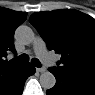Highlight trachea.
Masks as SVG:
<instances>
[{"label": "trachea", "instance_id": "3493384b", "mask_svg": "<svg viewBox=\"0 0 95 95\" xmlns=\"http://www.w3.org/2000/svg\"><path fill=\"white\" fill-rule=\"evenodd\" d=\"M18 61L20 62H27L29 61V57L27 54H21L18 58H17ZM32 64L35 66V67H41V63L40 61L37 59V58H33L31 60Z\"/></svg>", "mask_w": 95, "mask_h": 95}]
</instances>
